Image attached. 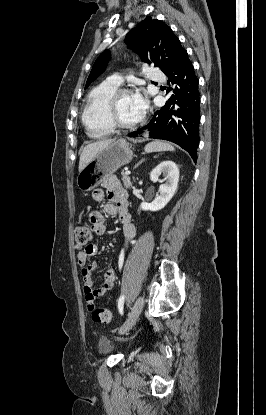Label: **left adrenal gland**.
I'll return each mask as SVG.
<instances>
[{
  "mask_svg": "<svg viewBox=\"0 0 266 415\" xmlns=\"http://www.w3.org/2000/svg\"><path fill=\"white\" fill-rule=\"evenodd\" d=\"M144 161V159H142L138 164H136L135 165V168L139 165V164H141L142 162Z\"/></svg>",
  "mask_w": 266,
  "mask_h": 415,
  "instance_id": "left-adrenal-gland-1",
  "label": "left adrenal gland"
}]
</instances>
